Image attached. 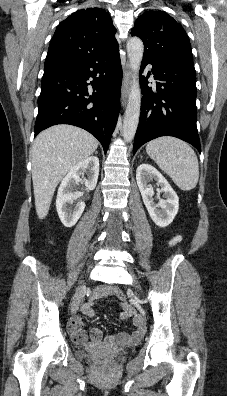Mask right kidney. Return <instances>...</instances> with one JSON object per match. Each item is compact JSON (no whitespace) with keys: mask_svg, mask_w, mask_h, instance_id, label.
<instances>
[{"mask_svg":"<svg viewBox=\"0 0 227 396\" xmlns=\"http://www.w3.org/2000/svg\"><path fill=\"white\" fill-rule=\"evenodd\" d=\"M84 174L87 178L83 177ZM99 175V159L96 156H90L80 161L74 166L62 180L56 198V209L58 216L65 227L74 226L81 217L85 203L80 201L75 207H72L73 201L77 198L75 192L78 183H84L86 189L94 190Z\"/></svg>","mask_w":227,"mask_h":396,"instance_id":"1","label":"right kidney"}]
</instances>
